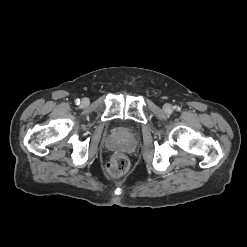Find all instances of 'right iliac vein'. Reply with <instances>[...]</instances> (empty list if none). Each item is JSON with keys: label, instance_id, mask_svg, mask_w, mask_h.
<instances>
[{"label": "right iliac vein", "instance_id": "63e3f726", "mask_svg": "<svg viewBox=\"0 0 247 247\" xmlns=\"http://www.w3.org/2000/svg\"><path fill=\"white\" fill-rule=\"evenodd\" d=\"M88 103H89V100H88L87 98H83L82 101H81V104H82L83 106L88 105Z\"/></svg>", "mask_w": 247, "mask_h": 247}]
</instances>
